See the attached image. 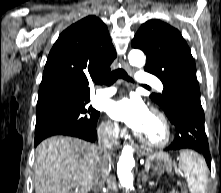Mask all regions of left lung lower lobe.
Masks as SVG:
<instances>
[{
    "mask_svg": "<svg viewBox=\"0 0 221 193\" xmlns=\"http://www.w3.org/2000/svg\"><path fill=\"white\" fill-rule=\"evenodd\" d=\"M176 138L166 150L191 149L206 158L211 168V155L204 129L205 116L201 106L200 92L190 90L177 96L173 103Z\"/></svg>",
    "mask_w": 221,
    "mask_h": 193,
    "instance_id": "0a47b994",
    "label": "left lung lower lobe"
}]
</instances>
